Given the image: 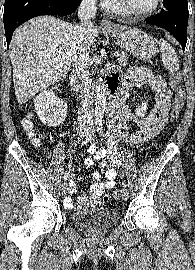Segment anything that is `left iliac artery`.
<instances>
[{"instance_id": "44dca946", "label": "left iliac artery", "mask_w": 195, "mask_h": 270, "mask_svg": "<svg viewBox=\"0 0 195 270\" xmlns=\"http://www.w3.org/2000/svg\"><path fill=\"white\" fill-rule=\"evenodd\" d=\"M97 131L99 132V134H101L102 133V125L101 124H99L98 126H97ZM121 164V163H120ZM122 185H123V187H127V184H126V182L125 181H123L122 182Z\"/></svg>"}]
</instances>
